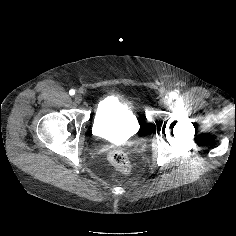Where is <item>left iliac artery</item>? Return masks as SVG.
<instances>
[{"label":"left iliac artery","instance_id":"left-iliac-artery-1","mask_svg":"<svg viewBox=\"0 0 236 236\" xmlns=\"http://www.w3.org/2000/svg\"><path fill=\"white\" fill-rule=\"evenodd\" d=\"M177 97V93L176 92H171L170 93V98L175 99Z\"/></svg>","mask_w":236,"mask_h":236}]
</instances>
